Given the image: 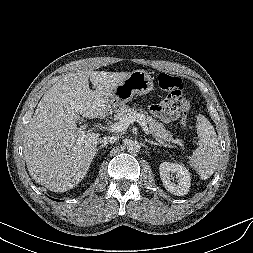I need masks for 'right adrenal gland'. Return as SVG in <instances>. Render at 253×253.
<instances>
[{
  "mask_svg": "<svg viewBox=\"0 0 253 253\" xmlns=\"http://www.w3.org/2000/svg\"><path fill=\"white\" fill-rule=\"evenodd\" d=\"M104 147H106V145H101V146H99V147L97 148L96 154L98 153V151H99L100 149H102V148H104Z\"/></svg>",
  "mask_w": 253,
  "mask_h": 253,
  "instance_id": "1",
  "label": "right adrenal gland"
}]
</instances>
